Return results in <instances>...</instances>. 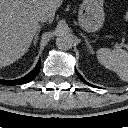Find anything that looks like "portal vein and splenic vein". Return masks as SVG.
<instances>
[{"mask_svg": "<svg viewBox=\"0 0 128 128\" xmlns=\"http://www.w3.org/2000/svg\"><path fill=\"white\" fill-rule=\"evenodd\" d=\"M123 47L128 48V45L122 44Z\"/></svg>", "mask_w": 128, "mask_h": 128, "instance_id": "portal-vein-and-splenic-vein-1", "label": "portal vein and splenic vein"}]
</instances>
